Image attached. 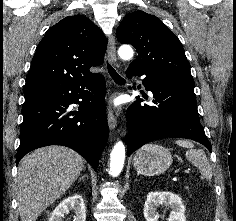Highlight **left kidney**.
Wrapping results in <instances>:
<instances>
[{
  "instance_id": "5707ae66",
  "label": "left kidney",
  "mask_w": 236,
  "mask_h": 221,
  "mask_svg": "<svg viewBox=\"0 0 236 221\" xmlns=\"http://www.w3.org/2000/svg\"><path fill=\"white\" fill-rule=\"evenodd\" d=\"M169 206L170 212L168 221H186L185 207L181 198L171 192H150L144 205V217L147 221H158L157 208L160 206Z\"/></svg>"
}]
</instances>
